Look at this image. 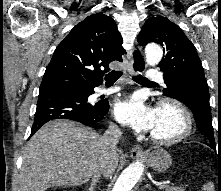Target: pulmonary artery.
Masks as SVG:
<instances>
[{
  "mask_svg": "<svg viewBox=\"0 0 221 191\" xmlns=\"http://www.w3.org/2000/svg\"><path fill=\"white\" fill-rule=\"evenodd\" d=\"M146 78L151 81V82H155V81H162L163 80V74L162 72L156 71V70H149L146 73ZM119 88L117 87H112V88H102L97 92V96L100 95H110L116 91H118Z\"/></svg>",
  "mask_w": 221,
  "mask_h": 191,
  "instance_id": "obj_1",
  "label": "pulmonary artery"
}]
</instances>
